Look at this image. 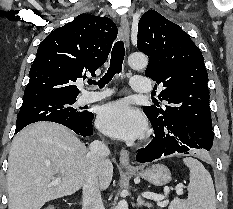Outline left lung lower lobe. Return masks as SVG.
Segmentation results:
<instances>
[{"mask_svg": "<svg viewBox=\"0 0 233 209\" xmlns=\"http://www.w3.org/2000/svg\"><path fill=\"white\" fill-rule=\"evenodd\" d=\"M151 124L155 138L137 153L136 160L140 163L150 162L172 153H189L192 148L209 151L213 145V131L192 121L185 119L151 121Z\"/></svg>", "mask_w": 233, "mask_h": 209, "instance_id": "1", "label": "left lung lower lobe"}]
</instances>
